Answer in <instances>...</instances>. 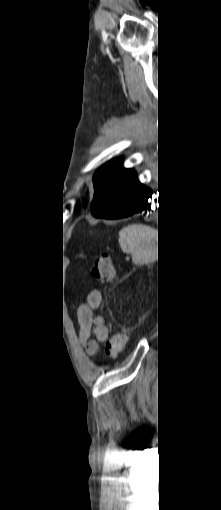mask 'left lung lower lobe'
Wrapping results in <instances>:
<instances>
[{"label":"left lung lower lobe","mask_w":221,"mask_h":510,"mask_svg":"<svg viewBox=\"0 0 221 510\" xmlns=\"http://www.w3.org/2000/svg\"><path fill=\"white\" fill-rule=\"evenodd\" d=\"M150 195L151 189L141 184L136 178L107 205L92 211V214L104 219L129 217L135 213L150 210L148 202Z\"/></svg>","instance_id":"0a47b994"}]
</instances>
